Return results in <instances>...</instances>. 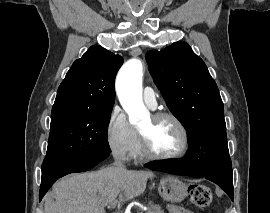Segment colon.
<instances>
[{"label": "colon", "instance_id": "1", "mask_svg": "<svg viewBox=\"0 0 270 213\" xmlns=\"http://www.w3.org/2000/svg\"><path fill=\"white\" fill-rule=\"evenodd\" d=\"M188 197L190 202L199 208H205L212 202V193L205 185L190 184L188 187Z\"/></svg>", "mask_w": 270, "mask_h": 213}]
</instances>
